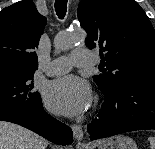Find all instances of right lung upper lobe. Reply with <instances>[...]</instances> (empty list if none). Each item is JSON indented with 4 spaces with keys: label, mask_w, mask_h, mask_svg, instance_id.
<instances>
[{
    "label": "right lung upper lobe",
    "mask_w": 155,
    "mask_h": 149,
    "mask_svg": "<svg viewBox=\"0 0 155 149\" xmlns=\"http://www.w3.org/2000/svg\"><path fill=\"white\" fill-rule=\"evenodd\" d=\"M46 18L32 0H22L0 12V68L35 72V50L44 31Z\"/></svg>",
    "instance_id": "1"
}]
</instances>
